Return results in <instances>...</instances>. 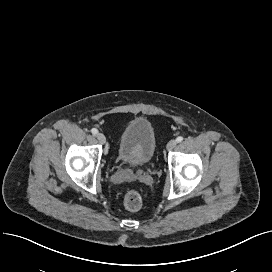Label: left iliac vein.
<instances>
[{
  "label": "left iliac vein",
  "mask_w": 272,
  "mask_h": 272,
  "mask_svg": "<svg viewBox=\"0 0 272 272\" xmlns=\"http://www.w3.org/2000/svg\"><path fill=\"white\" fill-rule=\"evenodd\" d=\"M176 145H177V141L176 140H170L168 143H167V145H166V149L168 150V151H171V150H173L175 147H176Z\"/></svg>",
  "instance_id": "1"
}]
</instances>
